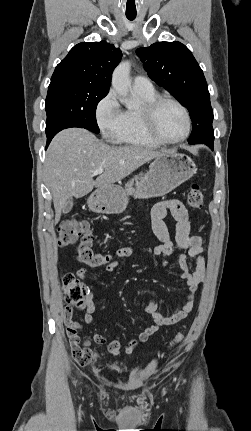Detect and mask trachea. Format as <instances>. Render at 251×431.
<instances>
[{
  "label": "trachea",
  "mask_w": 251,
  "mask_h": 431,
  "mask_svg": "<svg viewBox=\"0 0 251 431\" xmlns=\"http://www.w3.org/2000/svg\"><path fill=\"white\" fill-rule=\"evenodd\" d=\"M126 17H127L130 21H132V20H134V19L136 18V15H129V14H127V15H126Z\"/></svg>",
  "instance_id": "1"
}]
</instances>
